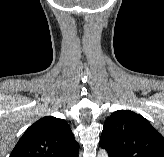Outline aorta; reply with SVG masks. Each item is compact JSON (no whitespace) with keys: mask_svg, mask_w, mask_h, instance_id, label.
Returning <instances> with one entry per match:
<instances>
[{"mask_svg":"<svg viewBox=\"0 0 164 157\" xmlns=\"http://www.w3.org/2000/svg\"><path fill=\"white\" fill-rule=\"evenodd\" d=\"M98 157H108L107 151L104 149L99 150Z\"/></svg>","mask_w":164,"mask_h":157,"instance_id":"762f6f07","label":"aorta"}]
</instances>
